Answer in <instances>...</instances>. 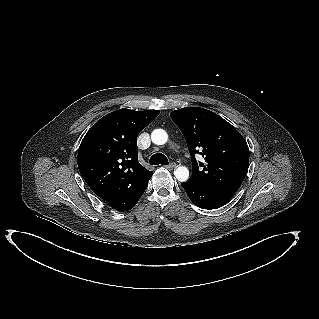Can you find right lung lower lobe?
<instances>
[{"instance_id": "obj_1", "label": "right lung lower lobe", "mask_w": 319, "mask_h": 319, "mask_svg": "<svg viewBox=\"0 0 319 319\" xmlns=\"http://www.w3.org/2000/svg\"><path fill=\"white\" fill-rule=\"evenodd\" d=\"M152 174L153 172H151L142 183L134 186L127 193L109 202L108 205L120 212L132 209L136 205V203L138 202L146 188L148 187V181L151 178Z\"/></svg>"}]
</instances>
